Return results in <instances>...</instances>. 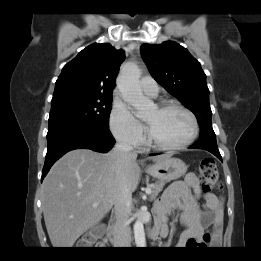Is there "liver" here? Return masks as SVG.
<instances>
[{
	"instance_id": "1",
	"label": "liver",
	"mask_w": 261,
	"mask_h": 261,
	"mask_svg": "<svg viewBox=\"0 0 261 261\" xmlns=\"http://www.w3.org/2000/svg\"><path fill=\"white\" fill-rule=\"evenodd\" d=\"M170 154L150 157L158 162ZM117 155L88 149L72 150L50 169L42 183V207L50 241L55 248H71L112 209L122 182L134 192L140 180L135 160H126L120 177Z\"/></svg>"
}]
</instances>
